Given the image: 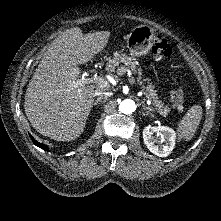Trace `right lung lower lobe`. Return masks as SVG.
Returning a JSON list of instances; mask_svg holds the SVG:
<instances>
[{
  "label": "right lung lower lobe",
  "mask_w": 221,
  "mask_h": 221,
  "mask_svg": "<svg viewBox=\"0 0 221 221\" xmlns=\"http://www.w3.org/2000/svg\"><path fill=\"white\" fill-rule=\"evenodd\" d=\"M30 137H31L33 143H34L36 146L42 148L43 150L49 151L47 145H44V144H41L40 142H37L31 135H30Z\"/></svg>",
  "instance_id": "1"
}]
</instances>
